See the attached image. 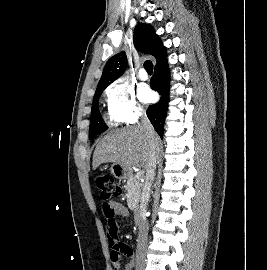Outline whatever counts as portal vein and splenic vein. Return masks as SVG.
Masks as SVG:
<instances>
[{"label": "portal vein and splenic vein", "mask_w": 267, "mask_h": 270, "mask_svg": "<svg viewBox=\"0 0 267 270\" xmlns=\"http://www.w3.org/2000/svg\"><path fill=\"white\" fill-rule=\"evenodd\" d=\"M143 176H144V171L143 170L138 171L137 174H136V177L138 179H141Z\"/></svg>", "instance_id": "portal-vein-and-splenic-vein-1"}]
</instances>
